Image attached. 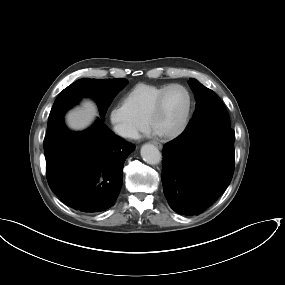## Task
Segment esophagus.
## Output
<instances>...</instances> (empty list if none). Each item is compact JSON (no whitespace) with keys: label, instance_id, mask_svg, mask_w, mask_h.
Here are the masks:
<instances>
[{"label":"esophagus","instance_id":"obj_1","mask_svg":"<svg viewBox=\"0 0 285 285\" xmlns=\"http://www.w3.org/2000/svg\"><path fill=\"white\" fill-rule=\"evenodd\" d=\"M152 143H153L155 146H157L159 149H161V148L163 147L162 144L159 143V142L153 141Z\"/></svg>","mask_w":285,"mask_h":285}]
</instances>
